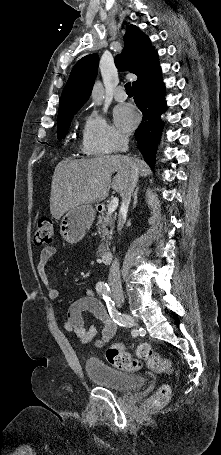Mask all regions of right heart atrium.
Listing matches in <instances>:
<instances>
[{
	"label": "right heart atrium",
	"instance_id": "obj_1",
	"mask_svg": "<svg viewBox=\"0 0 221 455\" xmlns=\"http://www.w3.org/2000/svg\"><path fill=\"white\" fill-rule=\"evenodd\" d=\"M125 135L105 117L92 111L83 118L81 151L86 155H108L118 151Z\"/></svg>",
	"mask_w": 221,
	"mask_h": 455
}]
</instances>
